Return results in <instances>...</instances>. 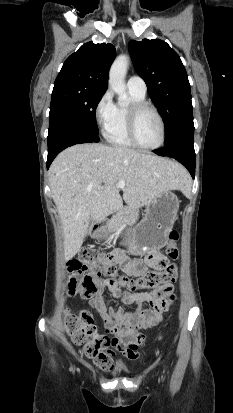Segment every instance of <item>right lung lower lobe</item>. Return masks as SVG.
<instances>
[{
	"instance_id": "98d812e1",
	"label": "right lung lower lobe",
	"mask_w": 233,
	"mask_h": 413,
	"mask_svg": "<svg viewBox=\"0 0 233 413\" xmlns=\"http://www.w3.org/2000/svg\"><path fill=\"white\" fill-rule=\"evenodd\" d=\"M89 142H99L98 136L90 132L65 127L48 134L47 169L54 158L65 148Z\"/></svg>"
}]
</instances>
